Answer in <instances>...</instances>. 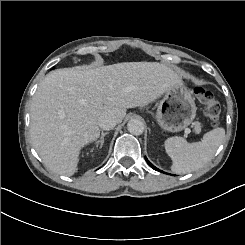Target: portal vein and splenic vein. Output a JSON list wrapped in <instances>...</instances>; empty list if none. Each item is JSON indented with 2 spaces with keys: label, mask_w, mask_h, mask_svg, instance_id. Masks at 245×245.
<instances>
[{
  "label": "portal vein and splenic vein",
  "mask_w": 245,
  "mask_h": 245,
  "mask_svg": "<svg viewBox=\"0 0 245 245\" xmlns=\"http://www.w3.org/2000/svg\"><path fill=\"white\" fill-rule=\"evenodd\" d=\"M185 133H191V128H185Z\"/></svg>",
  "instance_id": "portal-vein-and-splenic-vein-1"
}]
</instances>
